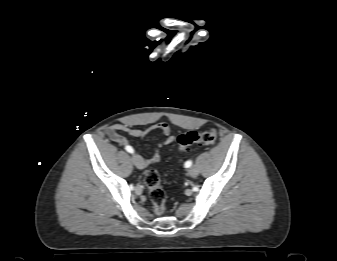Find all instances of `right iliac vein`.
I'll list each match as a JSON object with an SVG mask.
<instances>
[{
  "label": "right iliac vein",
  "mask_w": 337,
  "mask_h": 261,
  "mask_svg": "<svg viewBox=\"0 0 337 261\" xmlns=\"http://www.w3.org/2000/svg\"><path fill=\"white\" fill-rule=\"evenodd\" d=\"M132 161L134 163V165L138 168V169H143L145 166H144V161L142 159V157L138 154H134L132 156Z\"/></svg>",
  "instance_id": "right-iliac-vein-1"
}]
</instances>
